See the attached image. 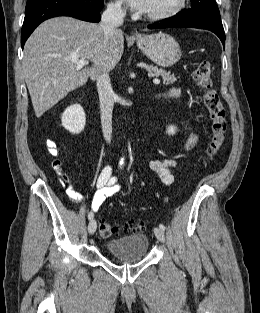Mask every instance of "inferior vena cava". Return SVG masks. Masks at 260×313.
Here are the masks:
<instances>
[{
    "instance_id": "obj_1",
    "label": "inferior vena cava",
    "mask_w": 260,
    "mask_h": 313,
    "mask_svg": "<svg viewBox=\"0 0 260 313\" xmlns=\"http://www.w3.org/2000/svg\"><path fill=\"white\" fill-rule=\"evenodd\" d=\"M125 11L120 4L110 3L102 14L100 27L104 32L105 42L112 38L117 27L123 24ZM96 85L100 100L101 125L105 140L111 142L112 112L114 106V91L112 89L108 70L103 68L96 77Z\"/></svg>"
}]
</instances>
